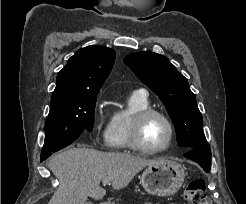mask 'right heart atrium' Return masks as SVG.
I'll return each instance as SVG.
<instances>
[{
  "instance_id": "obj_1",
  "label": "right heart atrium",
  "mask_w": 246,
  "mask_h": 204,
  "mask_svg": "<svg viewBox=\"0 0 246 204\" xmlns=\"http://www.w3.org/2000/svg\"><path fill=\"white\" fill-rule=\"evenodd\" d=\"M106 114L99 105L96 124H95V131H96V139L97 141H104L106 142L107 133H108V126L109 122H106Z\"/></svg>"
}]
</instances>
